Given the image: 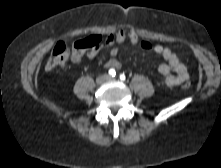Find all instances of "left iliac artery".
<instances>
[{"instance_id": "left-iliac-artery-1", "label": "left iliac artery", "mask_w": 221, "mask_h": 168, "mask_svg": "<svg viewBox=\"0 0 221 168\" xmlns=\"http://www.w3.org/2000/svg\"><path fill=\"white\" fill-rule=\"evenodd\" d=\"M119 78H120L121 81H125V79H126L124 74H120Z\"/></svg>"}]
</instances>
